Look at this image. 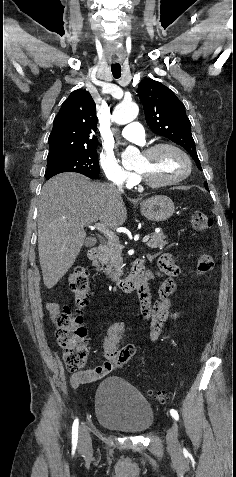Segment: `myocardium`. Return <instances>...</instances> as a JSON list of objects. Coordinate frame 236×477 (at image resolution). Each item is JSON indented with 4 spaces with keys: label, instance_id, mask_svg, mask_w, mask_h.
Segmentation results:
<instances>
[{
    "label": "myocardium",
    "instance_id": "myocardium-1",
    "mask_svg": "<svg viewBox=\"0 0 236 477\" xmlns=\"http://www.w3.org/2000/svg\"><path fill=\"white\" fill-rule=\"evenodd\" d=\"M162 149H171L179 153L181 156H183V158L186 160V163H187V170L181 176L174 179L165 180V181H153L150 178H148L146 175H144L141 171L135 170L139 181L152 188H161V187L179 184L180 182L185 180L187 177H189V175L192 172L193 164H192V160L190 156L176 144L169 143V142L156 143L145 148L142 151V154L144 156L149 157Z\"/></svg>",
    "mask_w": 236,
    "mask_h": 477
}]
</instances>
